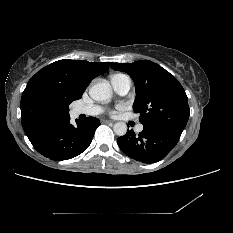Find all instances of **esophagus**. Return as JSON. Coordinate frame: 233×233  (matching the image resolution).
Listing matches in <instances>:
<instances>
[{"instance_id": "1", "label": "esophagus", "mask_w": 233, "mask_h": 233, "mask_svg": "<svg viewBox=\"0 0 233 233\" xmlns=\"http://www.w3.org/2000/svg\"><path fill=\"white\" fill-rule=\"evenodd\" d=\"M103 122H104V123H110V124H113V123H114L113 121H110V120H104Z\"/></svg>"}]
</instances>
